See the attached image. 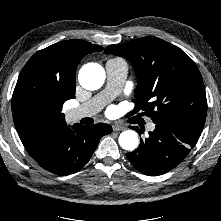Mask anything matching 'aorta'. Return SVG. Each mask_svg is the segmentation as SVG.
I'll return each instance as SVG.
<instances>
[{"instance_id": "aorta-1", "label": "aorta", "mask_w": 221, "mask_h": 221, "mask_svg": "<svg viewBox=\"0 0 221 221\" xmlns=\"http://www.w3.org/2000/svg\"><path fill=\"white\" fill-rule=\"evenodd\" d=\"M78 79L83 88L97 90L105 81V71L97 63H88L80 69ZM119 144L125 150H135L139 145L138 134L133 130L123 131L119 136Z\"/></svg>"}]
</instances>
